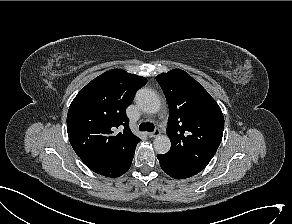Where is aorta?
Here are the masks:
<instances>
[{
    "mask_svg": "<svg viewBox=\"0 0 292 224\" xmlns=\"http://www.w3.org/2000/svg\"><path fill=\"white\" fill-rule=\"evenodd\" d=\"M137 105L146 113L155 114L161 108L158 95L147 88L140 89L135 96ZM153 146L158 154H166L171 147V141L167 135H158L153 141Z\"/></svg>",
    "mask_w": 292,
    "mask_h": 224,
    "instance_id": "obj_1",
    "label": "aorta"
}]
</instances>
